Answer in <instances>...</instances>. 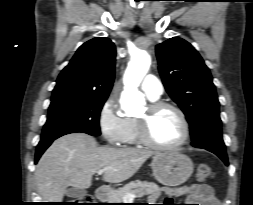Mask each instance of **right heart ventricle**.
Listing matches in <instances>:
<instances>
[{
  "instance_id": "e07e8e85",
  "label": "right heart ventricle",
  "mask_w": 253,
  "mask_h": 205,
  "mask_svg": "<svg viewBox=\"0 0 253 205\" xmlns=\"http://www.w3.org/2000/svg\"><path fill=\"white\" fill-rule=\"evenodd\" d=\"M149 99L152 102L158 100V98H150V97ZM124 143L127 145H138L141 143L138 137L137 121L134 118H127V133Z\"/></svg>"
}]
</instances>
